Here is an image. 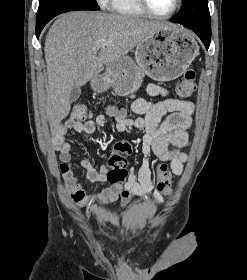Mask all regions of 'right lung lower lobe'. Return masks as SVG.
I'll use <instances>...</instances> for the list:
<instances>
[{
  "instance_id": "right-lung-lower-lobe-1",
  "label": "right lung lower lobe",
  "mask_w": 247,
  "mask_h": 280,
  "mask_svg": "<svg viewBox=\"0 0 247 280\" xmlns=\"http://www.w3.org/2000/svg\"><path fill=\"white\" fill-rule=\"evenodd\" d=\"M44 26H45V24L36 25V36H37V38L39 37L40 32H41V30L43 29Z\"/></svg>"
}]
</instances>
